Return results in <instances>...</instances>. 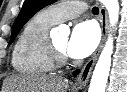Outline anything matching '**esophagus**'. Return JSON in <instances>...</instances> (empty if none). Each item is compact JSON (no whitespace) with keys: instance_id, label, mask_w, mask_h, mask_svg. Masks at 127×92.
I'll return each instance as SVG.
<instances>
[{"instance_id":"34e87169","label":"esophagus","mask_w":127,"mask_h":92,"mask_svg":"<svg viewBox=\"0 0 127 92\" xmlns=\"http://www.w3.org/2000/svg\"><path fill=\"white\" fill-rule=\"evenodd\" d=\"M100 16H101V28H102V40L101 43L97 49V51L92 55V57L85 63L83 66L79 76L77 77L74 85L77 88H84L86 84L89 81V78L91 76L93 67L95 65V62L98 58V55L100 53V50L103 46V42L105 40L107 30H108V14L103 5L100 7Z\"/></svg>"}]
</instances>
